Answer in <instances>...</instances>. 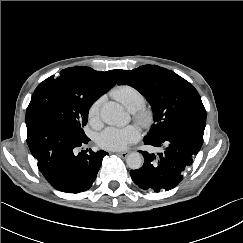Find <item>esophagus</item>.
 <instances>
[{
	"instance_id": "obj_1",
	"label": "esophagus",
	"mask_w": 243,
	"mask_h": 243,
	"mask_svg": "<svg viewBox=\"0 0 243 243\" xmlns=\"http://www.w3.org/2000/svg\"><path fill=\"white\" fill-rule=\"evenodd\" d=\"M116 154L119 155L122 158H125L129 154V152L128 151H121V152H116Z\"/></svg>"
}]
</instances>
